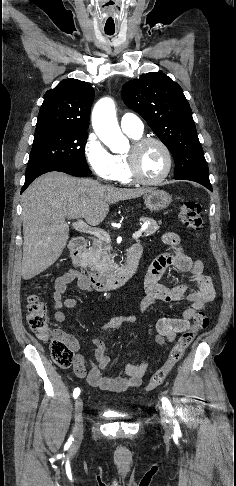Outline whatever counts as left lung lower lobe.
Masks as SVG:
<instances>
[{
	"instance_id": "left-lung-lower-lobe-1",
	"label": "left lung lower lobe",
	"mask_w": 236,
	"mask_h": 486,
	"mask_svg": "<svg viewBox=\"0 0 236 486\" xmlns=\"http://www.w3.org/2000/svg\"><path fill=\"white\" fill-rule=\"evenodd\" d=\"M174 179H175V178H174ZM204 186H205V187H207L208 189L212 190V186H211V184H206V185H204Z\"/></svg>"
}]
</instances>
